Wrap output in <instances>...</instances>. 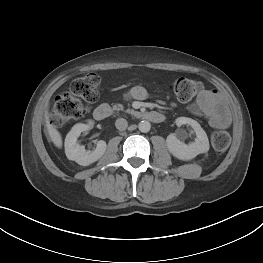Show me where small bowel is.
Segmentation results:
<instances>
[{"label": "small bowel", "instance_id": "small-bowel-1", "mask_svg": "<svg viewBox=\"0 0 263 263\" xmlns=\"http://www.w3.org/2000/svg\"><path fill=\"white\" fill-rule=\"evenodd\" d=\"M147 96L148 91L143 86H134L127 93V98L134 100H144ZM190 110L195 115L207 117L214 128H226L231 123L228 110L215 90L200 92L195 102L190 105Z\"/></svg>", "mask_w": 263, "mask_h": 263}]
</instances>
